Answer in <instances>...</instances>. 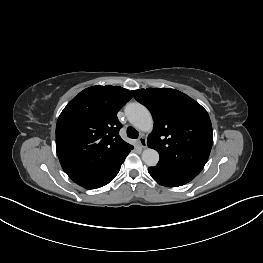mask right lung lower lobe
Wrapping results in <instances>:
<instances>
[{
  "instance_id": "98d812e1",
  "label": "right lung lower lobe",
  "mask_w": 263,
  "mask_h": 263,
  "mask_svg": "<svg viewBox=\"0 0 263 263\" xmlns=\"http://www.w3.org/2000/svg\"><path fill=\"white\" fill-rule=\"evenodd\" d=\"M127 155H125L123 158H121L120 160H118L103 171L85 177H81L73 181L87 189H96L105 186L106 184L111 182L118 174L121 164L124 162Z\"/></svg>"
}]
</instances>
